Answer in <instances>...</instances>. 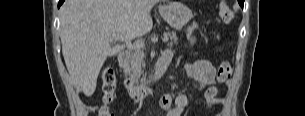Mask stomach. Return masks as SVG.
Here are the masks:
<instances>
[{
	"label": "stomach",
	"mask_w": 305,
	"mask_h": 116,
	"mask_svg": "<svg viewBox=\"0 0 305 116\" xmlns=\"http://www.w3.org/2000/svg\"><path fill=\"white\" fill-rule=\"evenodd\" d=\"M159 13L164 20L175 29H181L193 17L192 11L186 5L178 1H171L160 7Z\"/></svg>",
	"instance_id": "1"
}]
</instances>
